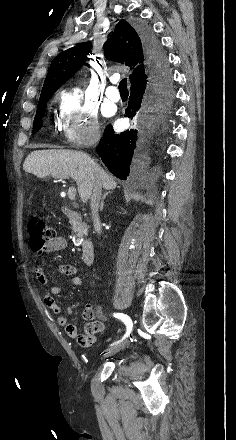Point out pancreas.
Returning a JSON list of instances; mask_svg holds the SVG:
<instances>
[{
  "instance_id": "cf45deb5",
  "label": "pancreas",
  "mask_w": 236,
  "mask_h": 440,
  "mask_svg": "<svg viewBox=\"0 0 236 440\" xmlns=\"http://www.w3.org/2000/svg\"><path fill=\"white\" fill-rule=\"evenodd\" d=\"M73 231L78 238H81L82 233L86 230V225L81 222H76L73 227Z\"/></svg>"
}]
</instances>
